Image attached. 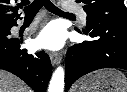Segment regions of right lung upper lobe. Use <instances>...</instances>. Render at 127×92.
Segmentation results:
<instances>
[{
  "label": "right lung upper lobe",
  "mask_w": 127,
  "mask_h": 92,
  "mask_svg": "<svg viewBox=\"0 0 127 92\" xmlns=\"http://www.w3.org/2000/svg\"><path fill=\"white\" fill-rule=\"evenodd\" d=\"M17 2V0H15ZM29 4V0H21L17 6H12L10 0H0V26H5L16 22L19 18L17 9Z\"/></svg>",
  "instance_id": "1"
}]
</instances>
